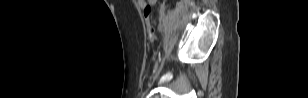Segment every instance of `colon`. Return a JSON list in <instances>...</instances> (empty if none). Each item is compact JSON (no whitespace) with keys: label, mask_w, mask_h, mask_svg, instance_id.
<instances>
[{"label":"colon","mask_w":308,"mask_h":98,"mask_svg":"<svg viewBox=\"0 0 308 98\" xmlns=\"http://www.w3.org/2000/svg\"><path fill=\"white\" fill-rule=\"evenodd\" d=\"M151 14H152V11L149 6L143 9V15H144L145 22H146V32H147V35L150 41L154 42L156 40V36H155L154 29L151 24Z\"/></svg>","instance_id":"colon-1"}]
</instances>
